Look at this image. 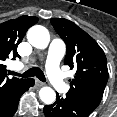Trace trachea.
Listing matches in <instances>:
<instances>
[{
    "mask_svg": "<svg viewBox=\"0 0 117 117\" xmlns=\"http://www.w3.org/2000/svg\"><path fill=\"white\" fill-rule=\"evenodd\" d=\"M10 73L14 76L23 77V78L36 76L42 82H46L45 75L39 67H33L27 70L26 72H24L23 74H19L17 72H10Z\"/></svg>",
    "mask_w": 117,
    "mask_h": 117,
    "instance_id": "3493384b",
    "label": "trachea"
}]
</instances>
